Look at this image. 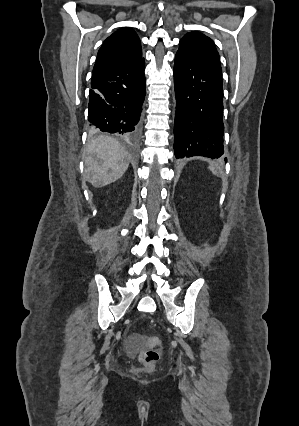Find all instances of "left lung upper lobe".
<instances>
[{"mask_svg":"<svg viewBox=\"0 0 299 426\" xmlns=\"http://www.w3.org/2000/svg\"><path fill=\"white\" fill-rule=\"evenodd\" d=\"M179 44V49L190 55L204 58L221 73L220 57L212 39L200 32L194 31L187 33L180 40Z\"/></svg>","mask_w":299,"mask_h":426,"instance_id":"obj_1","label":"left lung upper lobe"}]
</instances>
